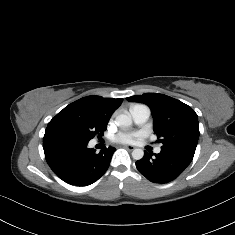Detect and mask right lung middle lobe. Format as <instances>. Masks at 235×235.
<instances>
[{
    "mask_svg": "<svg viewBox=\"0 0 235 235\" xmlns=\"http://www.w3.org/2000/svg\"><path fill=\"white\" fill-rule=\"evenodd\" d=\"M108 118L94 111H82L62 117L57 126L69 133L89 141L96 135L101 138L106 130Z\"/></svg>",
    "mask_w": 235,
    "mask_h": 235,
    "instance_id": "right-lung-middle-lobe-1",
    "label": "right lung middle lobe"
}]
</instances>
